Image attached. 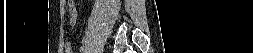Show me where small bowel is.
<instances>
[{
  "mask_svg": "<svg viewBox=\"0 0 253 53\" xmlns=\"http://www.w3.org/2000/svg\"><path fill=\"white\" fill-rule=\"evenodd\" d=\"M69 19H70V24L74 26L77 20V11L74 5V1H69ZM64 48L66 52H71L73 48L72 43L69 41H66L64 43Z\"/></svg>",
  "mask_w": 253,
  "mask_h": 53,
  "instance_id": "small-bowel-1",
  "label": "small bowel"
}]
</instances>
